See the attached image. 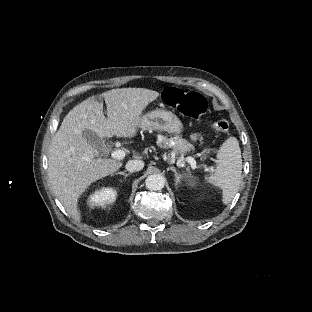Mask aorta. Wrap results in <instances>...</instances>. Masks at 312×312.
<instances>
[{"label": "aorta", "instance_id": "1", "mask_svg": "<svg viewBox=\"0 0 312 312\" xmlns=\"http://www.w3.org/2000/svg\"><path fill=\"white\" fill-rule=\"evenodd\" d=\"M164 177L161 175H149L145 179V187L148 190L159 191L164 187Z\"/></svg>", "mask_w": 312, "mask_h": 312}]
</instances>
